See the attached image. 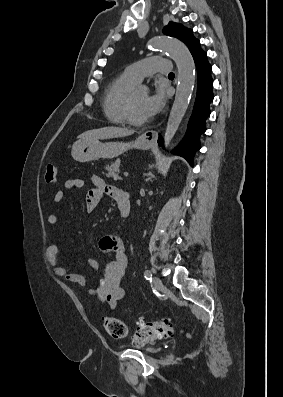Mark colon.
Segmentation results:
<instances>
[{
    "label": "colon",
    "mask_w": 283,
    "mask_h": 397,
    "mask_svg": "<svg viewBox=\"0 0 283 397\" xmlns=\"http://www.w3.org/2000/svg\"><path fill=\"white\" fill-rule=\"evenodd\" d=\"M58 168L54 164L47 165L44 172V182L52 184L56 182ZM104 327L107 333L116 340H123L129 336L127 326L117 318L106 317ZM173 333V324L169 319H162L152 322H144L138 325L132 335L135 343H145L148 341L166 338Z\"/></svg>",
    "instance_id": "colon-1"
}]
</instances>
